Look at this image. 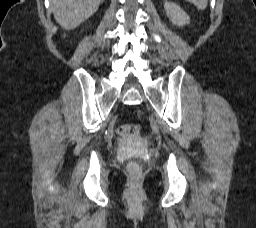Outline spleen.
<instances>
[{
  "label": "spleen",
  "instance_id": "spleen-1",
  "mask_svg": "<svg viewBox=\"0 0 256 228\" xmlns=\"http://www.w3.org/2000/svg\"><path fill=\"white\" fill-rule=\"evenodd\" d=\"M193 3L198 9L204 10L207 7L208 0H186Z\"/></svg>",
  "mask_w": 256,
  "mask_h": 228
}]
</instances>
